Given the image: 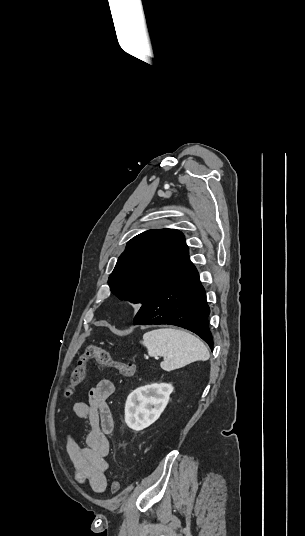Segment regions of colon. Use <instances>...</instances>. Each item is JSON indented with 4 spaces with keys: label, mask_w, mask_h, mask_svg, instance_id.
Returning <instances> with one entry per match:
<instances>
[{
    "label": "colon",
    "mask_w": 305,
    "mask_h": 536,
    "mask_svg": "<svg viewBox=\"0 0 305 536\" xmlns=\"http://www.w3.org/2000/svg\"><path fill=\"white\" fill-rule=\"evenodd\" d=\"M89 359L96 360L102 367L113 369L124 377H134L137 372L136 366L133 363L114 359L103 347L94 343L88 344L71 371L69 384L66 390L67 396L71 395L73 390L85 381L87 361ZM119 488V481L114 480L111 485L112 493H116Z\"/></svg>",
    "instance_id": "5ec220e1"
}]
</instances>
